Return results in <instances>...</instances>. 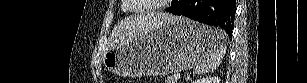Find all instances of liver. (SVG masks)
Returning <instances> with one entry per match:
<instances>
[{
    "mask_svg": "<svg viewBox=\"0 0 307 83\" xmlns=\"http://www.w3.org/2000/svg\"><path fill=\"white\" fill-rule=\"evenodd\" d=\"M175 16L162 12L138 15L121 21L111 34V46L121 45L133 38L140 36L149 29L171 21Z\"/></svg>",
    "mask_w": 307,
    "mask_h": 83,
    "instance_id": "liver-1",
    "label": "liver"
}]
</instances>
